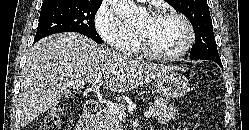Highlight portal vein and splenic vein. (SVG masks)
I'll use <instances>...</instances> for the list:
<instances>
[{
	"instance_id": "1",
	"label": "portal vein and splenic vein",
	"mask_w": 249,
	"mask_h": 130,
	"mask_svg": "<svg viewBox=\"0 0 249 130\" xmlns=\"http://www.w3.org/2000/svg\"><path fill=\"white\" fill-rule=\"evenodd\" d=\"M94 86L96 88H99L101 86V80H95L93 82ZM104 103L106 104V106L108 107V110L111 114L117 116L120 120H123L125 118V113H124V110L121 109L117 104L113 103V102H110V101H104ZM153 114V111L152 110H147L145 113H144V117L145 118H149L151 117Z\"/></svg>"
}]
</instances>
